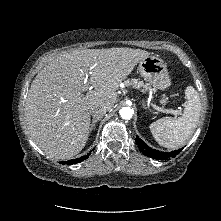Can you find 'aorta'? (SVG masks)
Returning a JSON list of instances; mask_svg holds the SVG:
<instances>
[{
  "instance_id": "762f6f07",
  "label": "aorta",
  "mask_w": 221,
  "mask_h": 221,
  "mask_svg": "<svg viewBox=\"0 0 221 221\" xmlns=\"http://www.w3.org/2000/svg\"><path fill=\"white\" fill-rule=\"evenodd\" d=\"M119 113L123 119L129 120L132 118L134 110L130 107H123L120 109Z\"/></svg>"
}]
</instances>
